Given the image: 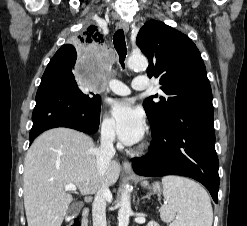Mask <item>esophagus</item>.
Segmentation results:
<instances>
[{"instance_id":"34e87169","label":"esophagus","mask_w":247,"mask_h":226,"mask_svg":"<svg viewBox=\"0 0 247 226\" xmlns=\"http://www.w3.org/2000/svg\"><path fill=\"white\" fill-rule=\"evenodd\" d=\"M117 29H122L125 32L129 30V24L126 21H119L116 25ZM123 169L126 173L133 174L132 165L129 161H123Z\"/></svg>"}]
</instances>
